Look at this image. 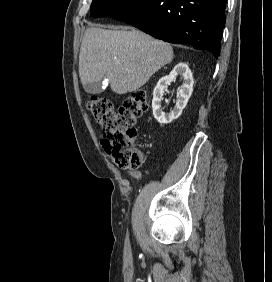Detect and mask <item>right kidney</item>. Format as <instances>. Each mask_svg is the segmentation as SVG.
I'll list each match as a JSON object with an SVG mask.
<instances>
[{
  "label": "right kidney",
  "mask_w": 272,
  "mask_h": 282,
  "mask_svg": "<svg viewBox=\"0 0 272 282\" xmlns=\"http://www.w3.org/2000/svg\"><path fill=\"white\" fill-rule=\"evenodd\" d=\"M180 75L184 79V83L181 86V89L177 93V101L174 109L169 113L165 114L161 110V101L163 97L164 90L167 86L176 79V77ZM193 75L186 63L180 62L173 70L166 75L159 79L156 87L153 91V100H152V109L154 118L162 125L171 123L173 120L177 119L183 109L186 107L189 98L193 92Z\"/></svg>",
  "instance_id": "obj_1"
}]
</instances>
